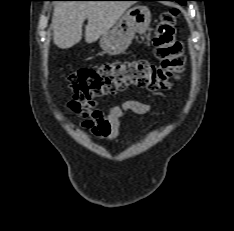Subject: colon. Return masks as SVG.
Returning a JSON list of instances; mask_svg holds the SVG:
<instances>
[{
	"instance_id": "obj_1",
	"label": "colon",
	"mask_w": 234,
	"mask_h": 231,
	"mask_svg": "<svg viewBox=\"0 0 234 231\" xmlns=\"http://www.w3.org/2000/svg\"><path fill=\"white\" fill-rule=\"evenodd\" d=\"M177 16L175 8L163 12L155 26L152 43L159 64L142 60L115 61L77 70L67 80L74 103H86L130 86L152 91L165 89L171 80L179 78L184 71L185 57L177 39Z\"/></svg>"
}]
</instances>
